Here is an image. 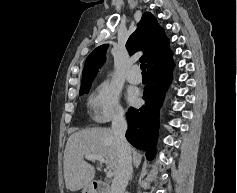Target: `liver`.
<instances>
[{"mask_svg": "<svg viewBox=\"0 0 237 193\" xmlns=\"http://www.w3.org/2000/svg\"><path fill=\"white\" fill-rule=\"evenodd\" d=\"M101 155L108 171L116 173L118 153L110 128H85L70 135L64 151V179L66 188L76 192L91 184L95 168L84 160L86 155Z\"/></svg>", "mask_w": 237, "mask_h": 193, "instance_id": "liver-1", "label": "liver"}]
</instances>
